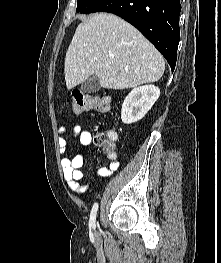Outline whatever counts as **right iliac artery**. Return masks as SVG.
Instances as JSON below:
<instances>
[{
  "instance_id": "1",
  "label": "right iliac artery",
  "mask_w": 221,
  "mask_h": 263,
  "mask_svg": "<svg viewBox=\"0 0 221 263\" xmlns=\"http://www.w3.org/2000/svg\"><path fill=\"white\" fill-rule=\"evenodd\" d=\"M98 210V203H95L92 207L91 214H90V220H89V226L93 229H95V221H96V214Z\"/></svg>"
}]
</instances>
